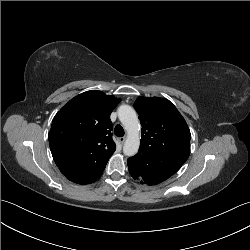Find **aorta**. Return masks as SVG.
<instances>
[{
	"mask_svg": "<svg viewBox=\"0 0 250 250\" xmlns=\"http://www.w3.org/2000/svg\"><path fill=\"white\" fill-rule=\"evenodd\" d=\"M118 117L127 131L123 152L126 156H133L138 152L140 146V125L137 114L131 106L122 105L118 109Z\"/></svg>",
	"mask_w": 250,
	"mask_h": 250,
	"instance_id": "aorta-1",
	"label": "aorta"
}]
</instances>
